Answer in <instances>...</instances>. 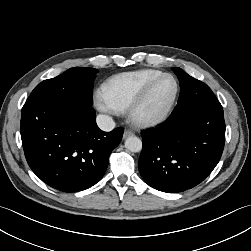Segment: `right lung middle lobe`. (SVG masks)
<instances>
[{
	"label": "right lung middle lobe",
	"mask_w": 251,
	"mask_h": 251,
	"mask_svg": "<svg viewBox=\"0 0 251 251\" xmlns=\"http://www.w3.org/2000/svg\"><path fill=\"white\" fill-rule=\"evenodd\" d=\"M97 72L94 68H70L55 78L42 81L30 96L50 98L70 105L92 106L93 82Z\"/></svg>",
	"instance_id": "obj_1"
}]
</instances>
